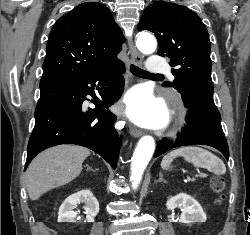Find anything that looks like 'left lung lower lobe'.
I'll use <instances>...</instances> for the list:
<instances>
[{"label":"left lung lower lobe","instance_id":"1","mask_svg":"<svg viewBox=\"0 0 250 235\" xmlns=\"http://www.w3.org/2000/svg\"><path fill=\"white\" fill-rule=\"evenodd\" d=\"M188 109L187 125L176 141L163 139L158 142L154 157L172 148L186 145H208L218 149L229 158L227 140L221 127V116L213 100V83L208 81L186 85L181 91Z\"/></svg>","mask_w":250,"mask_h":235}]
</instances>
